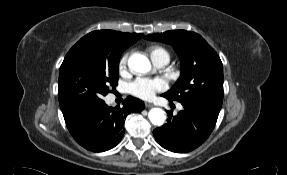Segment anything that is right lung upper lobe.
<instances>
[{
  "mask_svg": "<svg viewBox=\"0 0 287 175\" xmlns=\"http://www.w3.org/2000/svg\"><path fill=\"white\" fill-rule=\"evenodd\" d=\"M143 34L122 33L113 30H98L85 35L83 39H91L98 50H125L142 38Z\"/></svg>",
  "mask_w": 287,
  "mask_h": 175,
  "instance_id": "cb5924a9",
  "label": "right lung upper lobe"
}]
</instances>
